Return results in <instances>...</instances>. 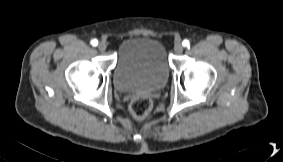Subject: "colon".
<instances>
[{"instance_id":"obj_1","label":"colon","mask_w":283,"mask_h":162,"mask_svg":"<svg viewBox=\"0 0 283 162\" xmlns=\"http://www.w3.org/2000/svg\"><path fill=\"white\" fill-rule=\"evenodd\" d=\"M129 109L135 118L142 119L150 113L152 102L146 96H137L131 101Z\"/></svg>"}]
</instances>
